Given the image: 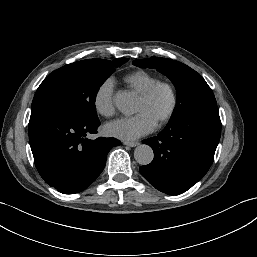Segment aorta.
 Listing matches in <instances>:
<instances>
[{"label": "aorta", "instance_id": "obj_1", "mask_svg": "<svg viewBox=\"0 0 257 257\" xmlns=\"http://www.w3.org/2000/svg\"><path fill=\"white\" fill-rule=\"evenodd\" d=\"M114 103L116 108L125 115L135 112L136 101L132 94L128 92H118L115 95ZM154 157L153 150L146 144H141L134 151V158L140 165H148Z\"/></svg>", "mask_w": 257, "mask_h": 257}]
</instances>
